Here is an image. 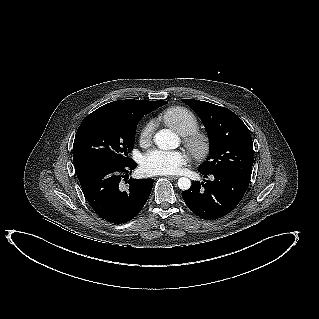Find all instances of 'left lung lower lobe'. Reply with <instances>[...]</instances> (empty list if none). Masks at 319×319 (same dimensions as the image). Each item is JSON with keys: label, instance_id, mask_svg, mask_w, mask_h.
I'll use <instances>...</instances> for the list:
<instances>
[{"label": "left lung lower lobe", "instance_id": "left-lung-lower-lobe-1", "mask_svg": "<svg viewBox=\"0 0 319 319\" xmlns=\"http://www.w3.org/2000/svg\"><path fill=\"white\" fill-rule=\"evenodd\" d=\"M213 180L200 183L194 181L190 189L182 192V197L189 209L202 219H217L229 214L243 198L249 180L232 172H212Z\"/></svg>", "mask_w": 319, "mask_h": 319}]
</instances>
